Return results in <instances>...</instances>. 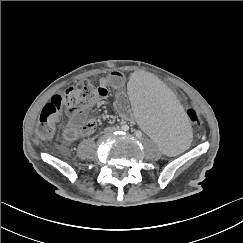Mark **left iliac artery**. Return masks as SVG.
Returning <instances> with one entry per match:
<instances>
[{
    "mask_svg": "<svg viewBox=\"0 0 243 243\" xmlns=\"http://www.w3.org/2000/svg\"><path fill=\"white\" fill-rule=\"evenodd\" d=\"M136 136H137V137H140V136H141V132L137 131V132H136Z\"/></svg>",
    "mask_w": 243,
    "mask_h": 243,
    "instance_id": "44dca946",
    "label": "left iliac artery"
}]
</instances>
